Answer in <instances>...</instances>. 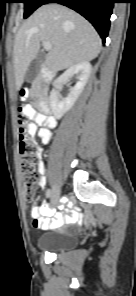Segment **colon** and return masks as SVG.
I'll list each match as a JSON object with an SVG mask.
<instances>
[{"label":"colon","mask_w":136,"mask_h":296,"mask_svg":"<svg viewBox=\"0 0 136 296\" xmlns=\"http://www.w3.org/2000/svg\"><path fill=\"white\" fill-rule=\"evenodd\" d=\"M30 109L28 105L19 107V151L20 172L22 176V191L26 203L32 206L35 202L36 186L39 181V173L36 168L38 159V148L33 141V124L28 119L26 112Z\"/></svg>","instance_id":"colon-1"}]
</instances>
